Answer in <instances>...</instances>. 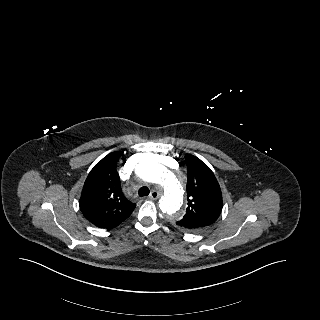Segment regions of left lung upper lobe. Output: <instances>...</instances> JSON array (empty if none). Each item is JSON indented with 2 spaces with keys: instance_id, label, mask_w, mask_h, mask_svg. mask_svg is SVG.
I'll use <instances>...</instances> for the list:
<instances>
[{
  "instance_id": "5c2ea615",
  "label": "left lung upper lobe",
  "mask_w": 320,
  "mask_h": 320,
  "mask_svg": "<svg viewBox=\"0 0 320 320\" xmlns=\"http://www.w3.org/2000/svg\"><path fill=\"white\" fill-rule=\"evenodd\" d=\"M188 207L176 224L188 231L211 225L222 210V193L211 169L199 158L186 154Z\"/></svg>"
}]
</instances>
